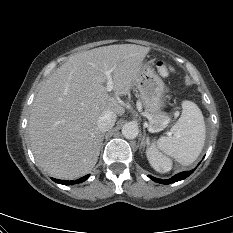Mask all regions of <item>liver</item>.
<instances>
[{
  "label": "liver",
  "mask_w": 233,
  "mask_h": 233,
  "mask_svg": "<svg viewBox=\"0 0 233 233\" xmlns=\"http://www.w3.org/2000/svg\"><path fill=\"white\" fill-rule=\"evenodd\" d=\"M149 51L135 44L98 47L71 56L44 82L28 125L31 149L44 171L72 180L94 168L102 143L98 118L107 110L125 112L105 89V71L112 69L115 95H127Z\"/></svg>",
  "instance_id": "obj_1"
}]
</instances>
